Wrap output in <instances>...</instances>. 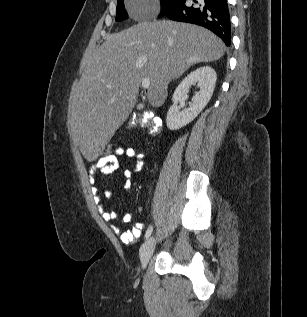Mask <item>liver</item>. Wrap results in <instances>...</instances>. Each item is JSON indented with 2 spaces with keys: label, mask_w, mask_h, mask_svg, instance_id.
Returning <instances> with one entry per match:
<instances>
[{
  "label": "liver",
  "mask_w": 307,
  "mask_h": 317,
  "mask_svg": "<svg viewBox=\"0 0 307 317\" xmlns=\"http://www.w3.org/2000/svg\"><path fill=\"white\" fill-rule=\"evenodd\" d=\"M225 44L211 31L169 20L143 22L107 35L89 59L72 98V133L82 154L95 160L132 112L144 79L159 107L168 84L189 67L220 59Z\"/></svg>",
  "instance_id": "1"
}]
</instances>
